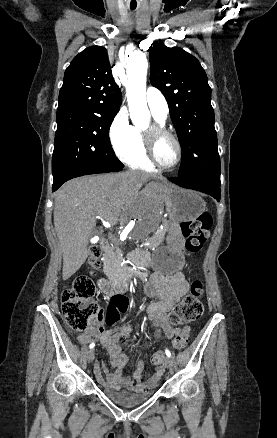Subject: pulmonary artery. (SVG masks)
Wrapping results in <instances>:
<instances>
[{"instance_id":"1","label":"pulmonary artery","mask_w":277,"mask_h":438,"mask_svg":"<svg viewBox=\"0 0 277 438\" xmlns=\"http://www.w3.org/2000/svg\"><path fill=\"white\" fill-rule=\"evenodd\" d=\"M164 87H153L144 100L154 119L165 121L169 115V106L165 98Z\"/></svg>"}]
</instances>
